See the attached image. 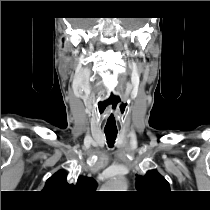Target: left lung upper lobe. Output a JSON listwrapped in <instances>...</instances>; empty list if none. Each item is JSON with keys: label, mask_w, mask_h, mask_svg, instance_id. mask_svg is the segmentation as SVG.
<instances>
[{"label": "left lung upper lobe", "mask_w": 210, "mask_h": 210, "mask_svg": "<svg viewBox=\"0 0 210 210\" xmlns=\"http://www.w3.org/2000/svg\"><path fill=\"white\" fill-rule=\"evenodd\" d=\"M136 179V188L142 193H161L170 190L169 183L157 170H149L145 176L136 175Z\"/></svg>", "instance_id": "1"}]
</instances>
